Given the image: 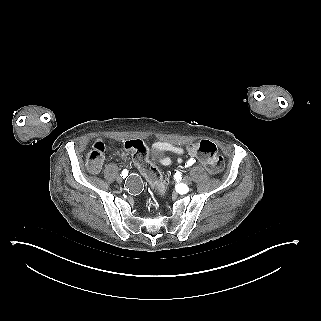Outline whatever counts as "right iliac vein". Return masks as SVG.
Wrapping results in <instances>:
<instances>
[{"label":"right iliac vein","instance_id":"1","mask_svg":"<svg viewBox=\"0 0 321 321\" xmlns=\"http://www.w3.org/2000/svg\"><path fill=\"white\" fill-rule=\"evenodd\" d=\"M116 181L120 184L123 182V178L119 175L116 176Z\"/></svg>","mask_w":321,"mask_h":321}]
</instances>
